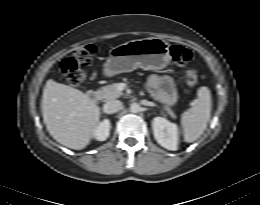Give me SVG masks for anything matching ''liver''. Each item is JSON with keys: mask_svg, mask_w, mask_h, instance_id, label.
<instances>
[{"mask_svg": "<svg viewBox=\"0 0 260 205\" xmlns=\"http://www.w3.org/2000/svg\"><path fill=\"white\" fill-rule=\"evenodd\" d=\"M41 110L53 139L74 150L89 144L100 119L99 107L87 94L52 79L43 89Z\"/></svg>", "mask_w": 260, "mask_h": 205, "instance_id": "6515ba94", "label": "liver"}]
</instances>
